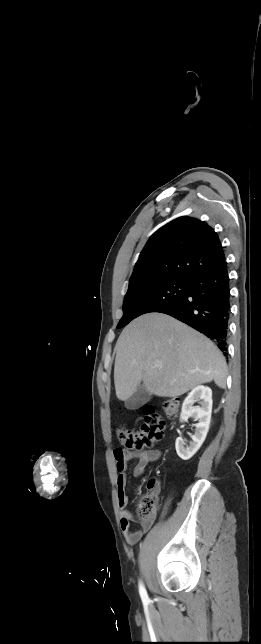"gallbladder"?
I'll return each instance as SVG.
<instances>
[{
  "instance_id": "1",
  "label": "gallbladder",
  "mask_w": 261,
  "mask_h": 644,
  "mask_svg": "<svg viewBox=\"0 0 261 644\" xmlns=\"http://www.w3.org/2000/svg\"><path fill=\"white\" fill-rule=\"evenodd\" d=\"M151 399V394L145 389L144 385H140L136 392L125 401V407L128 410H136L146 404Z\"/></svg>"
}]
</instances>
